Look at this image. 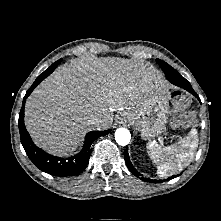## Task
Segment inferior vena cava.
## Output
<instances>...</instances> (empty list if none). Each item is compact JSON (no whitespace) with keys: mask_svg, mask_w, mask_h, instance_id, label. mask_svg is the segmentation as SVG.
<instances>
[{"mask_svg":"<svg viewBox=\"0 0 221 221\" xmlns=\"http://www.w3.org/2000/svg\"><path fill=\"white\" fill-rule=\"evenodd\" d=\"M99 118L96 117V116H93V117H90L88 120H87V123L88 125H97L99 123Z\"/></svg>","mask_w":221,"mask_h":221,"instance_id":"obj_1","label":"inferior vena cava"}]
</instances>
